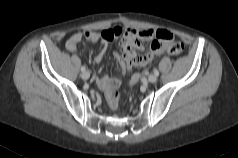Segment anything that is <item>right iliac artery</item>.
I'll return each instance as SVG.
<instances>
[{
	"label": "right iliac artery",
	"mask_w": 238,
	"mask_h": 158,
	"mask_svg": "<svg viewBox=\"0 0 238 158\" xmlns=\"http://www.w3.org/2000/svg\"><path fill=\"white\" fill-rule=\"evenodd\" d=\"M86 70L85 66L81 67V71L84 72Z\"/></svg>",
	"instance_id": "obj_1"
}]
</instances>
